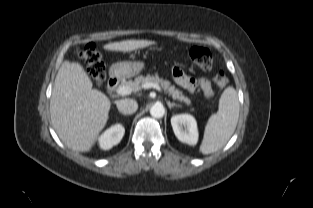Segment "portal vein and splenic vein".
Listing matches in <instances>:
<instances>
[{
    "label": "portal vein and splenic vein",
    "mask_w": 313,
    "mask_h": 208,
    "mask_svg": "<svg viewBox=\"0 0 313 208\" xmlns=\"http://www.w3.org/2000/svg\"><path fill=\"white\" fill-rule=\"evenodd\" d=\"M143 88H145V89L154 88V89H156V90L159 91V92L162 91L161 87H160L159 84H157V83H150V82H149V83H145V84L143 85ZM116 92H117L119 95L125 96V95L131 94L132 89H131L130 87H128V86H119V87L117 88Z\"/></svg>",
    "instance_id": "portal-vein-and-splenic-vein-1"
}]
</instances>
